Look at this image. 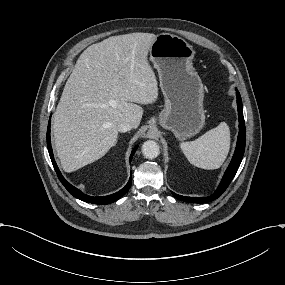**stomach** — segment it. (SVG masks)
I'll return each mask as SVG.
<instances>
[{
    "instance_id": "obj_1",
    "label": "stomach",
    "mask_w": 285,
    "mask_h": 285,
    "mask_svg": "<svg viewBox=\"0 0 285 285\" xmlns=\"http://www.w3.org/2000/svg\"><path fill=\"white\" fill-rule=\"evenodd\" d=\"M149 52L165 98L159 124L184 141L196 135L205 124L204 86L192 65L195 51L181 37L161 33Z\"/></svg>"
}]
</instances>
